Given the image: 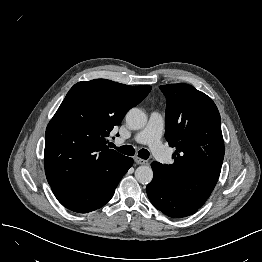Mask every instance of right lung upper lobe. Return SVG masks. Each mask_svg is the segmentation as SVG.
<instances>
[{
	"mask_svg": "<svg viewBox=\"0 0 262 262\" xmlns=\"http://www.w3.org/2000/svg\"><path fill=\"white\" fill-rule=\"evenodd\" d=\"M152 89L106 79L75 84L46 129L44 164L52 190H100L111 184L125 156L106 137Z\"/></svg>",
	"mask_w": 262,
	"mask_h": 262,
	"instance_id": "right-lung-upper-lobe-1",
	"label": "right lung upper lobe"
}]
</instances>
